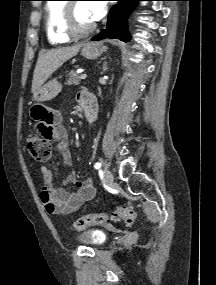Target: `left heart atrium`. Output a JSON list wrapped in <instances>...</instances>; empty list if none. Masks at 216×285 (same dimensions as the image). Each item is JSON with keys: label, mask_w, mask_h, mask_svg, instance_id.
Returning <instances> with one entry per match:
<instances>
[{"label": "left heart atrium", "mask_w": 216, "mask_h": 285, "mask_svg": "<svg viewBox=\"0 0 216 285\" xmlns=\"http://www.w3.org/2000/svg\"><path fill=\"white\" fill-rule=\"evenodd\" d=\"M88 14L93 22L99 21L106 13L105 1H90L86 3Z\"/></svg>", "instance_id": "39dd6f15"}]
</instances>
